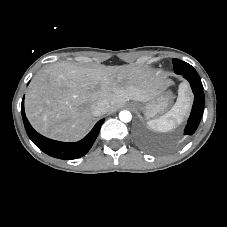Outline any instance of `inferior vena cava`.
I'll list each match as a JSON object with an SVG mask.
<instances>
[{"instance_id":"inferior-vena-cava-1","label":"inferior vena cava","mask_w":227,"mask_h":227,"mask_svg":"<svg viewBox=\"0 0 227 227\" xmlns=\"http://www.w3.org/2000/svg\"><path fill=\"white\" fill-rule=\"evenodd\" d=\"M107 109H108V103L105 100H102V101L96 102L93 105L92 113L94 116H99V115L105 114L107 112Z\"/></svg>"}]
</instances>
